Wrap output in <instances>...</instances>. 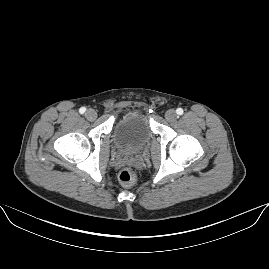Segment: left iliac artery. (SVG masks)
<instances>
[{"instance_id": "44dca946", "label": "left iliac artery", "mask_w": 269, "mask_h": 269, "mask_svg": "<svg viewBox=\"0 0 269 269\" xmlns=\"http://www.w3.org/2000/svg\"><path fill=\"white\" fill-rule=\"evenodd\" d=\"M176 113H177L178 115H182V114H183V109H182V108H178V109L176 110Z\"/></svg>"}]
</instances>
